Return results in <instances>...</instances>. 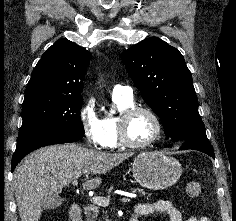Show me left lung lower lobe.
<instances>
[{
    "label": "left lung lower lobe",
    "instance_id": "0a47b994",
    "mask_svg": "<svg viewBox=\"0 0 236 221\" xmlns=\"http://www.w3.org/2000/svg\"><path fill=\"white\" fill-rule=\"evenodd\" d=\"M181 143V150H187V149H194L198 151H202L212 158H214V150L207 139V137H195L191 139L184 140Z\"/></svg>",
    "mask_w": 236,
    "mask_h": 221
}]
</instances>
